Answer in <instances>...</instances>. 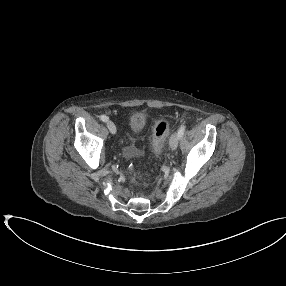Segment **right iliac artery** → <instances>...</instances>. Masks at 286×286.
<instances>
[{
	"instance_id": "obj_1",
	"label": "right iliac artery",
	"mask_w": 286,
	"mask_h": 286,
	"mask_svg": "<svg viewBox=\"0 0 286 286\" xmlns=\"http://www.w3.org/2000/svg\"><path fill=\"white\" fill-rule=\"evenodd\" d=\"M100 119L103 121V122H107L108 121V117L106 115H101L100 116Z\"/></svg>"
}]
</instances>
